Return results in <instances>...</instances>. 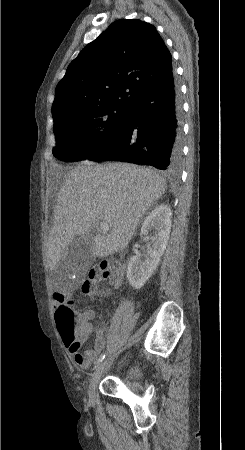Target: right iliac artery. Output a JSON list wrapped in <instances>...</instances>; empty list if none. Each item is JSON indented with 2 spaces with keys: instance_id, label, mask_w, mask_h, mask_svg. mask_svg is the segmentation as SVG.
Wrapping results in <instances>:
<instances>
[{
  "instance_id": "1",
  "label": "right iliac artery",
  "mask_w": 245,
  "mask_h": 450,
  "mask_svg": "<svg viewBox=\"0 0 245 450\" xmlns=\"http://www.w3.org/2000/svg\"><path fill=\"white\" fill-rule=\"evenodd\" d=\"M104 358H105V353H102L100 355V357L97 359V361L95 362V367H97L103 361Z\"/></svg>"
}]
</instances>
